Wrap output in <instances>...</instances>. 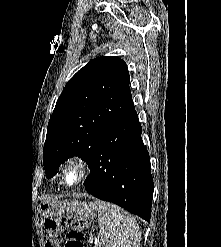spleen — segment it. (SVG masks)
<instances>
[{
	"label": "spleen",
	"mask_w": 221,
	"mask_h": 247,
	"mask_svg": "<svg viewBox=\"0 0 221 247\" xmlns=\"http://www.w3.org/2000/svg\"><path fill=\"white\" fill-rule=\"evenodd\" d=\"M98 211L99 236L103 247H139L136 220L123 209L107 202H94Z\"/></svg>",
	"instance_id": "spleen-1"
}]
</instances>
